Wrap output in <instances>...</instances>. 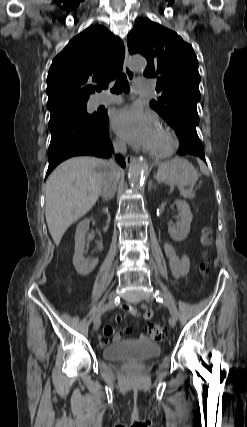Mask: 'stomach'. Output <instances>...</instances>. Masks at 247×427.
I'll return each instance as SVG.
<instances>
[{
    "mask_svg": "<svg viewBox=\"0 0 247 427\" xmlns=\"http://www.w3.org/2000/svg\"><path fill=\"white\" fill-rule=\"evenodd\" d=\"M199 178L197 170L184 158H173L161 164L158 168L156 179L169 185L192 187Z\"/></svg>",
    "mask_w": 247,
    "mask_h": 427,
    "instance_id": "1",
    "label": "stomach"
}]
</instances>
